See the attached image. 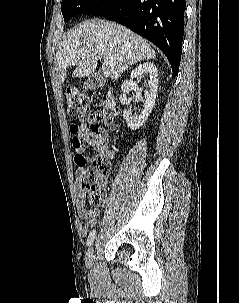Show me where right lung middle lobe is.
Masks as SVG:
<instances>
[{
    "label": "right lung middle lobe",
    "mask_w": 239,
    "mask_h": 303,
    "mask_svg": "<svg viewBox=\"0 0 239 303\" xmlns=\"http://www.w3.org/2000/svg\"><path fill=\"white\" fill-rule=\"evenodd\" d=\"M106 0H62L61 11L65 22L80 14H89Z\"/></svg>",
    "instance_id": "dd1d6c3e"
}]
</instances>
